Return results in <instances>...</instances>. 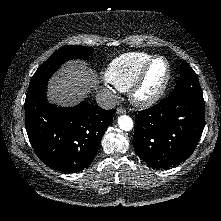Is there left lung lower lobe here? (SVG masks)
Here are the masks:
<instances>
[{
    "mask_svg": "<svg viewBox=\"0 0 221 221\" xmlns=\"http://www.w3.org/2000/svg\"><path fill=\"white\" fill-rule=\"evenodd\" d=\"M204 99L174 95L136 114L133 146L149 167L163 169L186 160L205 125Z\"/></svg>",
    "mask_w": 221,
    "mask_h": 221,
    "instance_id": "0a47b994",
    "label": "left lung lower lobe"
}]
</instances>
